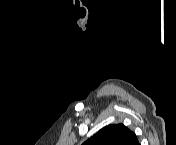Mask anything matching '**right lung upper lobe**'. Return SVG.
<instances>
[{
	"label": "right lung upper lobe",
	"instance_id": "cb5924a9",
	"mask_svg": "<svg viewBox=\"0 0 176 145\" xmlns=\"http://www.w3.org/2000/svg\"><path fill=\"white\" fill-rule=\"evenodd\" d=\"M83 145H139V142L126 126L117 124L102 128Z\"/></svg>",
	"mask_w": 176,
	"mask_h": 145
}]
</instances>
